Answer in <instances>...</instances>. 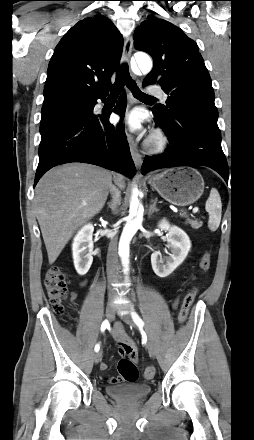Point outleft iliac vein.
Returning <instances> with one entry per match:
<instances>
[{"mask_svg":"<svg viewBox=\"0 0 254 440\" xmlns=\"http://www.w3.org/2000/svg\"><path fill=\"white\" fill-rule=\"evenodd\" d=\"M121 319H122L126 324H128V325H130V326H135V324H134V322H133V320H132V318H131V316H130L129 314H123V315H121ZM147 349H148L149 354H150L152 357H155V355H156V347H155V345H154L151 341H148V342H147Z\"/></svg>","mask_w":254,"mask_h":440,"instance_id":"obj_1","label":"left iliac vein"}]
</instances>
